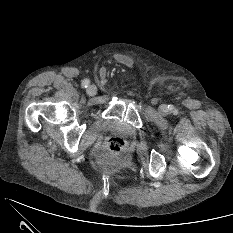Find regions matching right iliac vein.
Instances as JSON below:
<instances>
[{"label": "right iliac vein", "mask_w": 233, "mask_h": 233, "mask_svg": "<svg viewBox=\"0 0 233 233\" xmlns=\"http://www.w3.org/2000/svg\"><path fill=\"white\" fill-rule=\"evenodd\" d=\"M86 92L90 96H94L97 93V88L95 85H89L86 89Z\"/></svg>", "instance_id": "obj_1"}]
</instances>
